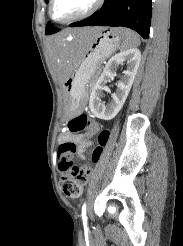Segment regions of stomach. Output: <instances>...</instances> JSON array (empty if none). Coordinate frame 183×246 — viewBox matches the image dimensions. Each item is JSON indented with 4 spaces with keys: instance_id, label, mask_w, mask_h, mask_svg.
I'll use <instances>...</instances> for the list:
<instances>
[{
    "instance_id": "0dacf381",
    "label": "stomach",
    "mask_w": 183,
    "mask_h": 246,
    "mask_svg": "<svg viewBox=\"0 0 183 246\" xmlns=\"http://www.w3.org/2000/svg\"><path fill=\"white\" fill-rule=\"evenodd\" d=\"M123 29L101 28L92 40L64 42L76 48V61L70 77L63 83L65 110L69 116L77 115L84 106L87 83L94 75L99 63L123 44ZM89 60L90 62H86Z\"/></svg>"
}]
</instances>
